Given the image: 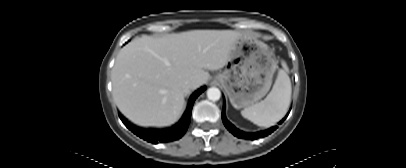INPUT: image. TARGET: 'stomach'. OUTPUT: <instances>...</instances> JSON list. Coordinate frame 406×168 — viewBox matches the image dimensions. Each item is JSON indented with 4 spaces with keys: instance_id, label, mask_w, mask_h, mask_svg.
<instances>
[{
    "instance_id": "stomach-1",
    "label": "stomach",
    "mask_w": 406,
    "mask_h": 168,
    "mask_svg": "<svg viewBox=\"0 0 406 168\" xmlns=\"http://www.w3.org/2000/svg\"><path fill=\"white\" fill-rule=\"evenodd\" d=\"M276 69L277 61L265 43L241 35L224 71L215 80L224 88L233 107L241 109L268 93Z\"/></svg>"
}]
</instances>
